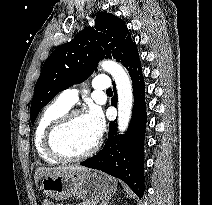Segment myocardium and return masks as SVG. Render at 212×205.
I'll use <instances>...</instances> for the list:
<instances>
[{
  "instance_id": "f54148a6",
  "label": "myocardium",
  "mask_w": 212,
  "mask_h": 205,
  "mask_svg": "<svg viewBox=\"0 0 212 205\" xmlns=\"http://www.w3.org/2000/svg\"><path fill=\"white\" fill-rule=\"evenodd\" d=\"M77 116H83L82 112L77 109L68 110L60 117H58L48 128L45 134V148L47 152L62 162H76L86 159L92 156L100 147V139L94 142V144L87 149L85 152L78 155H68L65 154L59 147L58 138L61 132L66 128V126Z\"/></svg>"
}]
</instances>
